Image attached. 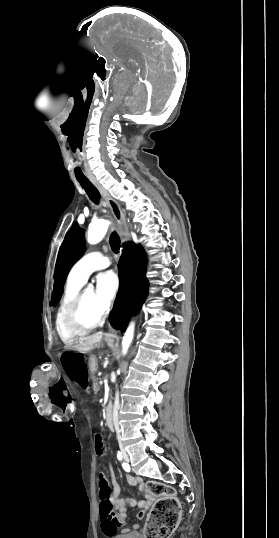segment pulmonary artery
<instances>
[{"mask_svg":"<svg viewBox=\"0 0 279 538\" xmlns=\"http://www.w3.org/2000/svg\"><path fill=\"white\" fill-rule=\"evenodd\" d=\"M111 257L109 254L101 252H91L82 257L74 266L72 271L75 278L86 282L88 277L95 271L109 266Z\"/></svg>","mask_w":279,"mask_h":538,"instance_id":"1","label":"pulmonary artery"}]
</instances>
